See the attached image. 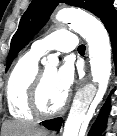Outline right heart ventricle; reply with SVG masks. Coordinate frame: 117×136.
<instances>
[{
    "label": "right heart ventricle",
    "mask_w": 117,
    "mask_h": 136,
    "mask_svg": "<svg viewBox=\"0 0 117 136\" xmlns=\"http://www.w3.org/2000/svg\"><path fill=\"white\" fill-rule=\"evenodd\" d=\"M40 55L32 50L24 53L14 65L6 84V100L9 113L17 119H32L29 94L39 72Z\"/></svg>",
    "instance_id": "e07e8e85"
}]
</instances>
